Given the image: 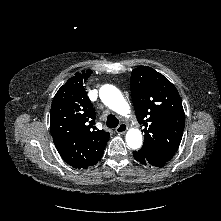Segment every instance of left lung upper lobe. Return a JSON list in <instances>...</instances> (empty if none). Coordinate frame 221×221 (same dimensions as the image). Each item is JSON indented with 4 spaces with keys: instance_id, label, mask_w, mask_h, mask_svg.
<instances>
[{
    "instance_id": "5c2ea615",
    "label": "left lung upper lobe",
    "mask_w": 221,
    "mask_h": 221,
    "mask_svg": "<svg viewBox=\"0 0 221 221\" xmlns=\"http://www.w3.org/2000/svg\"><path fill=\"white\" fill-rule=\"evenodd\" d=\"M130 84L136 118L145 127L138 153L150 165L163 167L177 151L184 131L180 95L165 76L148 66L134 69Z\"/></svg>"
}]
</instances>
